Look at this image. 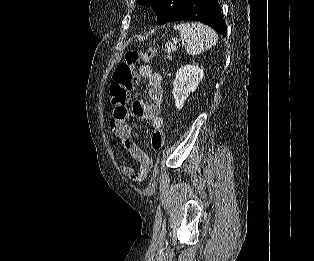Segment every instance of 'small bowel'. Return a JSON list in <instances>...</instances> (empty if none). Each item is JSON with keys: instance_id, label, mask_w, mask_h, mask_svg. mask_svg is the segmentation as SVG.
Segmentation results:
<instances>
[{"instance_id": "c3829d8e", "label": "small bowel", "mask_w": 314, "mask_h": 261, "mask_svg": "<svg viewBox=\"0 0 314 261\" xmlns=\"http://www.w3.org/2000/svg\"><path fill=\"white\" fill-rule=\"evenodd\" d=\"M139 77L148 83L149 101L135 100L131 112L126 104L114 105L109 121L112 133L120 140L122 148L137 162V166L121 165V172L132 182L142 183L151 172L154 159L149 156L135 141L128 119L133 116L149 120L153 129L163 128L164 120L160 116L164 102L162 76L154 72L150 66L142 65L139 68Z\"/></svg>"}]
</instances>
